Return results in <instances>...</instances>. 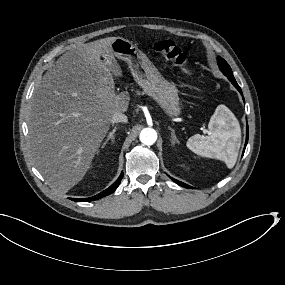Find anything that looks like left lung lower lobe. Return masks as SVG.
Returning <instances> with one entry per match:
<instances>
[{
  "label": "left lung lower lobe",
  "mask_w": 285,
  "mask_h": 285,
  "mask_svg": "<svg viewBox=\"0 0 285 285\" xmlns=\"http://www.w3.org/2000/svg\"><path fill=\"white\" fill-rule=\"evenodd\" d=\"M229 80H230V81L232 82V84L238 89V91L242 94V91H241L239 85L237 84L236 80H235L234 78L229 79ZM247 142H248V125H247L246 142H245V147H244V150H243V154H244V151H245ZM171 179H172L175 183H177V184H179V185H181V186H183V187H186V188H189V189H193V187H191V186H189V185H187V184H185V183H183V182H180V181H178V180H176V179H174V178H172V177H171Z\"/></svg>",
  "instance_id": "1"
}]
</instances>
